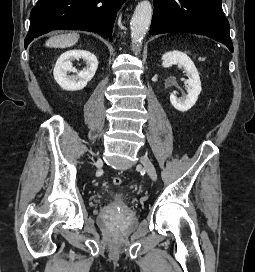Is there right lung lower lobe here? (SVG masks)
Listing matches in <instances>:
<instances>
[{
	"instance_id": "1",
	"label": "right lung lower lobe",
	"mask_w": 255,
	"mask_h": 272,
	"mask_svg": "<svg viewBox=\"0 0 255 272\" xmlns=\"http://www.w3.org/2000/svg\"><path fill=\"white\" fill-rule=\"evenodd\" d=\"M125 0H38L30 13L25 48L36 37L58 29L99 33L112 41L117 11Z\"/></svg>"
}]
</instances>
